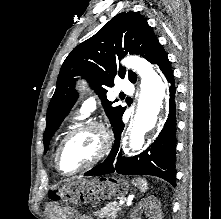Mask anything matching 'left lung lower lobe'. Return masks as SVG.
<instances>
[{"label":"left lung lower lobe","instance_id":"obj_1","mask_svg":"<svg viewBox=\"0 0 221 219\" xmlns=\"http://www.w3.org/2000/svg\"><path fill=\"white\" fill-rule=\"evenodd\" d=\"M150 62L159 66L171 84L169 114L164 128L148 149L134 157L125 158L122 156V151H119L121 133L124 128L123 121H120L114 132L115 144L109 156L102 164L86 172L85 176L106 175L114 172L123 175H153L168 181L173 186L176 185V104L174 101L176 88L173 71L162 45L156 49Z\"/></svg>","mask_w":221,"mask_h":219}]
</instances>
